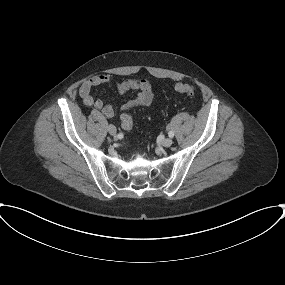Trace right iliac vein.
I'll use <instances>...</instances> for the list:
<instances>
[{"mask_svg": "<svg viewBox=\"0 0 285 285\" xmlns=\"http://www.w3.org/2000/svg\"><path fill=\"white\" fill-rule=\"evenodd\" d=\"M107 130L109 132L110 135L112 136H115L116 135V127L112 124H110L108 127H107Z\"/></svg>", "mask_w": 285, "mask_h": 285, "instance_id": "63e3f726", "label": "right iliac vein"}]
</instances>
